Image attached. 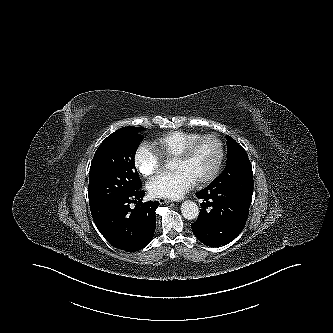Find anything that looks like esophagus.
<instances>
[{
	"mask_svg": "<svg viewBox=\"0 0 333 333\" xmlns=\"http://www.w3.org/2000/svg\"><path fill=\"white\" fill-rule=\"evenodd\" d=\"M158 201H159L160 204H165V203L172 202L171 200L166 199V198H159Z\"/></svg>",
	"mask_w": 333,
	"mask_h": 333,
	"instance_id": "34e87169",
	"label": "esophagus"
}]
</instances>
